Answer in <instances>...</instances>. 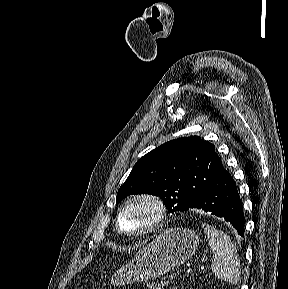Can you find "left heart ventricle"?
Listing matches in <instances>:
<instances>
[{
	"label": "left heart ventricle",
	"mask_w": 288,
	"mask_h": 289,
	"mask_svg": "<svg viewBox=\"0 0 288 289\" xmlns=\"http://www.w3.org/2000/svg\"><path fill=\"white\" fill-rule=\"evenodd\" d=\"M152 218V208L146 203L138 202L124 210L120 218V225L124 231L135 232L148 225Z\"/></svg>",
	"instance_id": "1"
}]
</instances>
